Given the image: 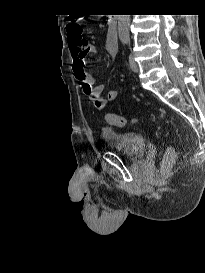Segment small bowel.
Returning a JSON list of instances; mask_svg holds the SVG:
<instances>
[{
    "label": "small bowel",
    "mask_w": 205,
    "mask_h": 273,
    "mask_svg": "<svg viewBox=\"0 0 205 273\" xmlns=\"http://www.w3.org/2000/svg\"><path fill=\"white\" fill-rule=\"evenodd\" d=\"M70 52L73 58L72 70L74 77L80 83L83 93L91 101V104L96 109H103L108 102L117 98V90L108 91L106 97H102L104 91L103 84L95 85V78L88 74L85 70V61L88 54L96 53L97 47L88 45L83 48L82 46L70 42ZM105 50L110 56H115L118 51V41L115 39L114 34L108 32L105 42Z\"/></svg>",
    "instance_id": "1"
}]
</instances>
